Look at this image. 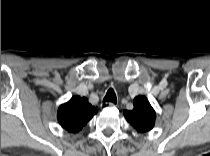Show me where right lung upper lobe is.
Returning <instances> with one entry per match:
<instances>
[{
  "label": "right lung upper lobe",
  "instance_id": "cb5924a9",
  "mask_svg": "<svg viewBox=\"0 0 210 156\" xmlns=\"http://www.w3.org/2000/svg\"><path fill=\"white\" fill-rule=\"evenodd\" d=\"M97 113L87 98L73 96L67 103L62 104L57 112L59 124L71 133H77Z\"/></svg>",
  "mask_w": 210,
  "mask_h": 156
}]
</instances>
